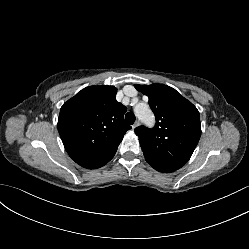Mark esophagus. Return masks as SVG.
I'll return each mask as SVG.
<instances>
[{
	"mask_svg": "<svg viewBox=\"0 0 249 249\" xmlns=\"http://www.w3.org/2000/svg\"><path fill=\"white\" fill-rule=\"evenodd\" d=\"M139 121H136L133 125H132V129L134 130L137 126H139Z\"/></svg>",
	"mask_w": 249,
	"mask_h": 249,
	"instance_id": "obj_1",
	"label": "esophagus"
}]
</instances>
